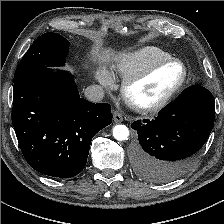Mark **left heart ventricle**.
<instances>
[{"instance_id":"obj_1","label":"left heart ventricle","mask_w":224,"mask_h":224,"mask_svg":"<svg viewBox=\"0 0 224 224\" xmlns=\"http://www.w3.org/2000/svg\"><path fill=\"white\" fill-rule=\"evenodd\" d=\"M182 69L177 64L166 65L131 89V96L140 105H151L162 99L180 80Z\"/></svg>"}]
</instances>
